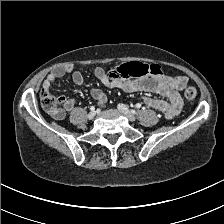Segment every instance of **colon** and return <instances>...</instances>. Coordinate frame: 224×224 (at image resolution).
<instances>
[{"label": "colon", "instance_id": "obj_1", "mask_svg": "<svg viewBox=\"0 0 224 224\" xmlns=\"http://www.w3.org/2000/svg\"><path fill=\"white\" fill-rule=\"evenodd\" d=\"M162 73L161 66L158 64L130 63L113 70L110 73L112 78L125 79L132 77H144L148 75H159ZM197 90L194 87L184 89V97L188 101L195 100ZM66 102L63 95H52L49 91L41 94V103L43 108L50 114L56 115L60 112L61 106Z\"/></svg>", "mask_w": 224, "mask_h": 224}]
</instances>
